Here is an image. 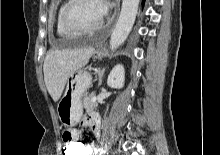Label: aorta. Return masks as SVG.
Here are the masks:
<instances>
[{
    "instance_id": "obj_1",
    "label": "aorta",
    "mask_w": 220,
    "mask_h": 155,
    "mask_svg": "<svg viewBox=\"0 0 220 155\" xmlns=\"http://www.w3.org/2000/svg\"><path fill=\"white\" fill-rule=\"evenodd\" d=\"M139 0H123L117 24L111 34L110 48L117 49L128 37L135 22Z\"/></svg>"
}]
</instances>
